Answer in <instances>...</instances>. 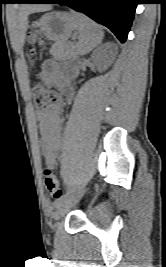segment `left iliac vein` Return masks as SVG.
<instances>
[{
	"label": "left iliac vein",
	"instance_id": "obj_1",
	"mask_svg": "<svg viewBox=\"0 0 166 267\" xmlns=\"http://www.w3.org/2000/svg\"><path fill=\"white\" fill-rule=\"evenodd\" d=\"M84 189L79 190L74 195L66 198L64 203L58 208L55 213V219L58 220L63 217L74 205H76L83 195Z\"/></svg>",
	"mask_w": 166,
	"mask_h": 267
}]
</instances>
